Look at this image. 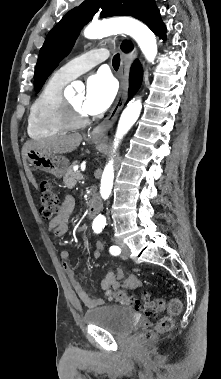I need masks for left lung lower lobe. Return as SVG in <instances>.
Masks as SVG:
<instances>
[{
	"instance_id": "1",
	"label": "left lung lower lobe",
	"mask_w": 221,
	"mask_h": 379,
	"mask_svg": "<svg viewBox=\"0 0 221 379\" xmlns=\"http://www.w3.org/2000/svg\"><path fill=\"white\" fill-rule=\"evenodd\" d=\"M141 21H143L161 39L165 38V26L160 19V13L155 4L146 11ZM121 48L123 51L127 52L132 49V44L125 41L122 43Z\"/></svg>"
}]
</instances>
